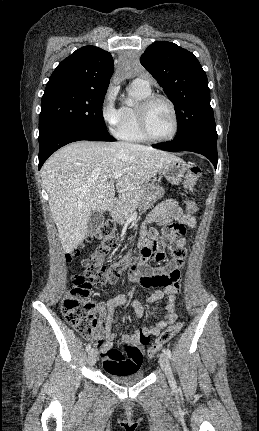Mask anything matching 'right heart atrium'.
<instances>
[{
    "label": "right heart atrium",
    "mask_w": 259,
    "mask_h": 431,
    "mask_svg": "<svg viewBox=\"0 0 259 431\" xmlns=\"http://www.w3.org/2000/svg\"><path fill=\"white\" fill-rule=\"evenodd\" d=\"M118 88L109 86L101 104V116L106 126L115 132L121 122V108L117 107Z\"/></svg>",
    "instance_id": "right-heart-atrium-1"
}]
</instances>
